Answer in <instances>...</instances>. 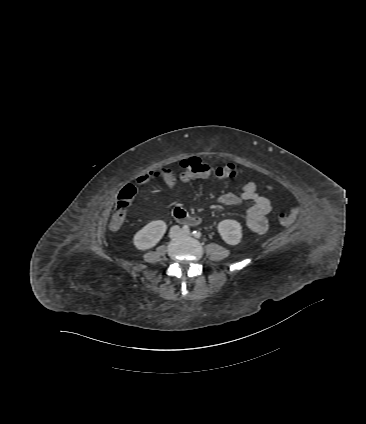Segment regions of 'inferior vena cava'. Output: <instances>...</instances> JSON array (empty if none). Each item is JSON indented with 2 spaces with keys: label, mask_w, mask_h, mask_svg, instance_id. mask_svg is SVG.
<instances>
[{
  "label": "inferior vena cava",
  "mask_w": 366,
  "mask_h": 424,
  "mask_svg": "<svg viewBox=\"0 0 366 424\" xmlns=\"http://www.w3.org/2000/svg\"><path fill=\"white\" fill-rule=\"evenodd\" d=\"M172 230L174 231V230H179V226H173L172 227Z\"/></svg>",
  "instance_id": "1"
}]
</instances>
